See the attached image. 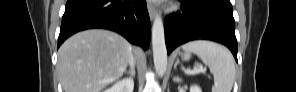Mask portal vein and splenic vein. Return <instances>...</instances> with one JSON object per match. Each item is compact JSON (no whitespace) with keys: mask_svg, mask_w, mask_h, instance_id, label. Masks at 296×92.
Wrapping results in <instances>:
<instances>
[{"mask_svg":"<svg viewBox=\"0 0 296 92\" xmlns=\"http://www.w3.org/2000/svg\"><path fill=\"white\" fill-rule=\"evenodd\" d=\"M205 71H206V68L196 67L193 70H186L185 73H187V74H198V73H204Z\"/></svg>","mask_w":296,"mask_h":92,"instance_id":"18ae733b","label":"portal vein and splenic vein"}]
</instances>
